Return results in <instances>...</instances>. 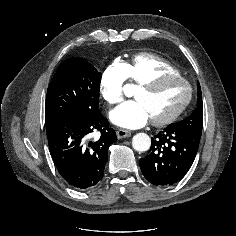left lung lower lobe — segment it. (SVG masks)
Wrapping results in <instances>:
<instances>
[{
	"mask_svg": "<svg viewBox=\"0 0 236 236\" xmlns=\"http://www.w3.org/2000/svg\"><path fill=\"white\" fill-rule=\"evenodd\" d=\"M201 134L168 125L152 138L151 153L141 158L140 168L153 185L170 186L190 169Z\"/></svg>",
	"mask_w": 236,
	"mask_h": 236,
	"instance_id": "obj_1",
	"label": "left lung lower lobe"
}]
</instances>
